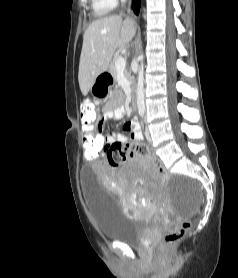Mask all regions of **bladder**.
I'll return each mask as SVG.
<instances>
[{"mask_svg":"<svg viewBox=\"0 0 238 278\" xmlns=\"http://www.w3.org/2000/svg\"><path fill=\"white\" fill-rule=\"evenodd\" d=\"M83 180H94L92 167L83 169ZM85 196L99 233L106 239L143 246L146 222L124 213L117 197L99 181H84Z\"/></svg>","mask_w":238,"mask_h":278,"instance_id":"31cf9c89","label":"bladder"}]
</instances>
